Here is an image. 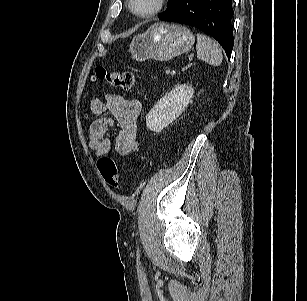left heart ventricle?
I'll return each mask as SVG.
<instances>
[{"mask_svg": "<svg viewBox=\"0 0 307 301\" xmlns=\"http://www.w3.org/2000/svg\"><path fill=\"white\" fill-rule=\"evenodd\" d=\"M157 0H133V7L140 13L151 11L156 6Z\"/></svg>", "mask_w": 307, "mask_h": 301, "instance_id": "b2bd125f", "label": "left heart ventricle"}]
</instances>
